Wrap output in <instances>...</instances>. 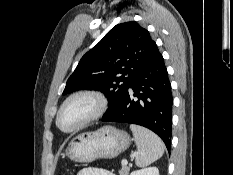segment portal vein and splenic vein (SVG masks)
<instances>
[{
	"mask_svg": "<svg viewBox=\"0 0 233 175\" xmlns=\"http://www.w3.org/2000/svg\"><path fill=\"white\" fill-rule=\"evenodd\" d=\"M121 164H122L123 166H126V165L128 164V161H127V160H122Z\"/></svg>",
	"mask_w": 233,
	"mask_h": 175,
	"instance_id": "obj_1",
	"label": "portal vein and splenic vein"
}]
</instances>
